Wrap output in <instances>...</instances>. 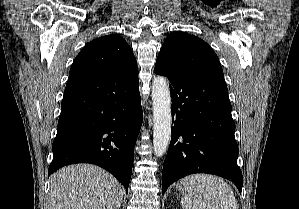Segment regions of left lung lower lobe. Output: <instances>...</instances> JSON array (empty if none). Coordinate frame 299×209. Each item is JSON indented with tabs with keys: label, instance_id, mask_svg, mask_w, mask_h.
<instances>
[{
	"label": "left lung lower lobe",
	"instance_id": "left-lung-lower-lobe-1",
	"mask_svg": "<svg viewBox=\"0 0 299 209\" xmlns=\"http://www.w3.org/2000/svg\"><path fill=\"white\" fill-rule=\"evenodd\" d=\"M156 74L170 81L172 138L163 164L162 194L169 185L193 173L215 174L231 180L241 192L235 123L224 80Z\"/></svg>",
	"mask_w": 299,
	"mask_h": 209
}]
</instances>
